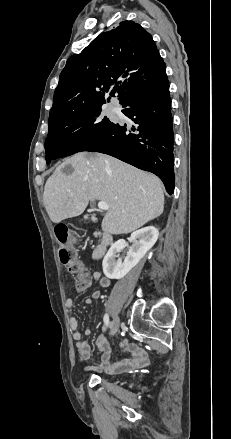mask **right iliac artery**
Instances as JSON below:
<instances>
[{
	"instance_id": "right-iliac-artery-1",
	"label": "right iliac artery",
	"mask_w": 231,
	"mask_h": 439,
	"mask_svg": "<svg viewBox=\"0 0 231 439\" xmlns=\"http://www.w3.org/2000/svg\"><path fill=\"white\" fill-rule=\"evenodd\" d=\"M103 320H104L105 325L108 327L109 326V315L107 313L104 315Z\"/></svg>"
}]
</instances>
